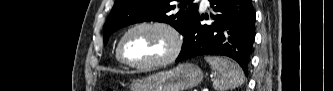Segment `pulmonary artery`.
I'll return each mask as SVG.
<instances>
[{
    "mask_svg": "<svg viewBox=\"0 0 333 91\" xmlns=\"http://www.w3.org/2000/svg\"><path fill=\"white\" fill-rule=\"evenodd\" d=\"M207 5H208V1L203 0V1H202V7H203V8H206Z\"/></svg>",
    "mask_w": 333,
    "mask_h": 91,
    "instance_id": "1",
    "label": "pulmonary artery"
}]
</instances>
